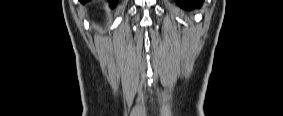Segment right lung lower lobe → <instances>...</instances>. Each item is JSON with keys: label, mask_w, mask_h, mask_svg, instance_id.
I'll use <instances>...</instances> for the list:
<instances>
[{"label": "right lung lower lobe", "mask_w": 283, "mask_h": 116, "mask_svg": "<svg viewBox=\"0 0 283 116\" xmlns=\"http://www.w3.org/2000/svg\"><path fill=\"white\" fill-rule=\"evenodd\" d=\"M87 0H84L83 2H86ZM109 1V3H110V6L111 7H114L115 5H116V3H117V1L118 0H108Z\"/></svg>", "instance_id": "1"}]
</instances>
